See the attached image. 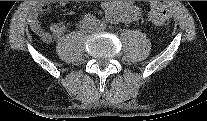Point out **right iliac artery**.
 <instances>
[{
	"label": "right iliac artery",
	"instance_id": "obj_1",
	"mask_svg": "<svg viewBox=\"0 0 207 121\" xmlns=\"http://www.w3.org/2000/svg\"><path fill=\"white\" fill-rule=\"evenodd\" d=\"M85 20H87L91 24H96V22L98 21L93 14L85 15Z\"/></svg>",
	"mask_w": 207,
	"mask_h": 121
}]
</instances>
